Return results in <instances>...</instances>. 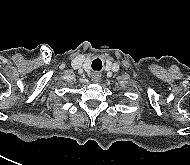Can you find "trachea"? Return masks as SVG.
Wrapping results in <instances>:
<instances>
[{"label": "trachea", "mask_w": 190, "mask_h": 165, "mask_svg": "<svg viewBox=\"0 0 190 165\" xmlns=\"http://www.w3.org/2000/svg\"><path fill=\"white\" fill-rule=\"evenodd\" d=\"M92 68L94 70H100L102 68V61L100 59H95L92 62Z\"/></svg>", "instance_id": "trachea-1"}]
</instances>
